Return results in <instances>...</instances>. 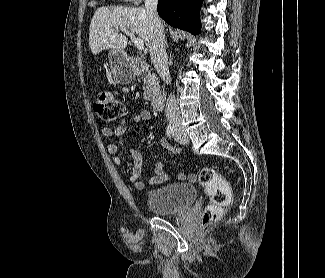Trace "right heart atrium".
I'll list each match as a JSON object with an SVG mask.
<instances>
[{"label":"right heart atrium","mask_w":325,"mask_h":278,"mask_svg":"<svg viewBox=\"0 0 325 278\" xmlns=\"http://www.w3.org/2000/svg\"><path fill=\"white\" fill-rule=\"evenodd\" d=\"M127 1H130V2H133V3H140L142 0H127Z\"/></svg>","instance_id":"1"}]
</instances>
